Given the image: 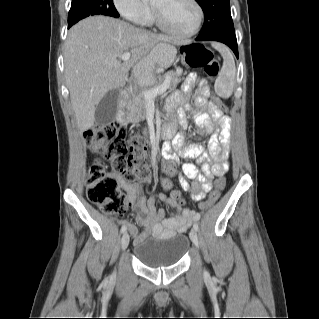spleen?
I'll return each mask as SVG.
<instances>
[{"label":"spleen","instance_id":"3e777b00","mask_svg":"<svg viewBox=\"0 0 319 319\" xmlns=\"http://www.w3.org/2000/svg\"><path fill=\"white\" fill-rule=\"evenodd\" d=\"M214 48L219 51L223 57V66L215 80V93L222 98H229L233 93L235 84L236 68L234 58L227 47L215 43Z\"/></svg>","mask_w":319,"mask_h":319}]
</instances>
